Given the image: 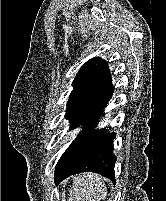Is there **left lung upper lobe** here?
Returning a JSON list of instances; mask_svg holds the SVG:
<instances>
[{"label": "left lung upper lobe", "mask_w": 166, "mask_h": 201, "mask_svg": "<svg viewBox=\"0 0 166 201\" xmlns=\"http://www.w3.org/2000/svg\"><path fill=\"white\" fill-rule=\"evenodd\" d=\"M65 117L75 129L99 111L112 97L110 71L99 57L88 60L73 81Z\"/></svg>", "instance_id": "5c2ea615"}]
</instances>
